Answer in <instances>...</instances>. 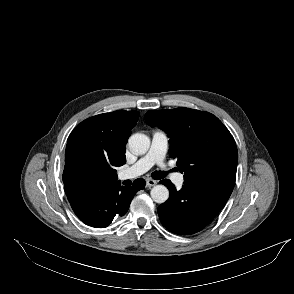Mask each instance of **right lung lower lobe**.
I'll use <instances>...</instances> for the list:
<instances>
[{"instance_id": "right-lung-lower-lobe-1", "label": "right lung lower lobe", "mask_w": 294, "mask_h": 294, "mask_svg": "<svg viewBox=\"0 0 294 294\" xmlns=\"http://www.w3.org/2000/svg\"><path fill=\"white\" fill-rule=\"evenodd\" d=\"M145 187L142 178L133 186L124 187L120 182L100 187L82 197L76 203H70L77 217L86 225L98 228L107 227L114 217L123 216L129 209L134 195ZM83 187H77L73 193L80 194ZM66 195L71 190L65 191Z\"/></svg>"}]
</instances>
